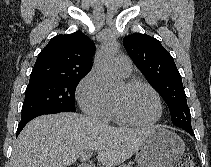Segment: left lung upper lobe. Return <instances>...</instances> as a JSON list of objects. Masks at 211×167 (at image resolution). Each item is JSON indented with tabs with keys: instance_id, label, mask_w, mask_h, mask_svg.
Masks as SVG:
<instances>
[{
	"instance_id": "1",
	"label": "left lung upper lobe",
	"mask_w": 211,
	"mask_h": 167,
	"mask_svg": "<svg viewBox=\"0 0 211 167\" xmlns=\"http://www.w3.org/2000/svg\"><path fill=\"white\" fill-rule=\"evenodd\" d=\"M123 44L136 67L167 103L172 123L182 129L192 128L181 75L170 53L146 34H131Z\"/></svg>"
}]
</instances>
